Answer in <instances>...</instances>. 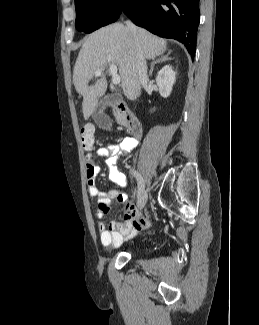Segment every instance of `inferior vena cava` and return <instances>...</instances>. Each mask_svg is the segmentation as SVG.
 Here are the masks:
<instances>
[{"instance_id":"1","label":"inferior vena cava","mask_w":259,"mask_h":325,"mask_svg":"<svg viewBox=\"0 0 259 325\" xmlns=\"http://www.w3.org/2000/svg\"><path fill=\"white\" fill-rule=\"evenodd\" d=\"M126 25L128 29L131 31V33L134 35L136 40V34H137V27L131 22L126 21ZM135 67L137 69L139 81L141 84H145L148 81V75H147V63L145 60V56L141 49L137 46L136 47V56H135Z\"/></svg>"}]
</instances>
